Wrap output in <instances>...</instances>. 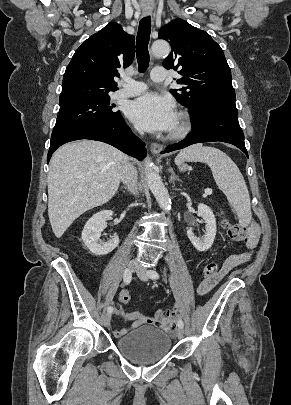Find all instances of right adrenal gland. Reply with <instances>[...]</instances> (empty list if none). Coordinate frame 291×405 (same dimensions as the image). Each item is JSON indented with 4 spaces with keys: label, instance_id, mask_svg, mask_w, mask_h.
Segmentation results:
<instances>
[{
    "label": "right adrenal gland",
    "instance_id": "1",
    "mask_svg": "<svg viewBox=\"0 0 291 405\" xmlns=\"http://www.w3.org/2000/svg\"><path fill=\"white\" fill-rule=\"evenodd\" d=\"M122 189H126V187H124V188H122ZM123 192H125V191H123Z\"/></svg>",
    "mask_w": 291,
    "mask_h": 405
}]
</instances>
